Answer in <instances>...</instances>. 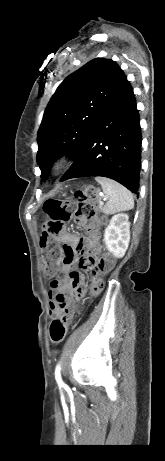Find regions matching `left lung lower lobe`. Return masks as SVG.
<instances>
[{"instance_id":"0a47b994","label":"left lung lower lobe","mask_w":165,"mask_h":461,"mask_svg":"<svg viewBox=\"0 0 165 461\" xmlns=\"http://www.w3.org/2000/svg\"><path fill=\"white\" fill-rule=\"evenodd\" d=\"M133 89L126 79L61 178L102 176L131 192L139 189L141 128Z\"/></svg>"}]
</instances>
